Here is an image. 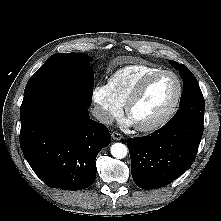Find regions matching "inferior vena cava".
<instances>
[{"label": "inferior vena cava", "instance_id": "1", "mask_svg": "<svg viewBox=\"0 0 221 221\" xmlns=\"http://www.w3.org/2000/svg\"><path fill=\"white\" fill-rule=\"evenodd\" d=\"M92 115L103 124H111L113 122V117L102 107L95 106L92 110Z\"/></svg>", "mask_w": 221, "mask_h": 221}]
</instances>
